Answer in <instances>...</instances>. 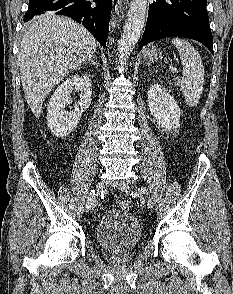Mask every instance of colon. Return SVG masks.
<instances>
[{"label": "colon", "mask_w": 233, "mask_h": 294, "mask_svg": "<svg viewBox=\"0 0 233 294\" xmlns=\"http://www.w3.org/2000/svg\"><path fill=\"white\" fill-rule=\"evenodd\" d=\"M131 202L129 200H122L119 204L118 207L121 210H129L131 208Z\"/></svg>", "instance_id": "obj_1"}]
</instances>
